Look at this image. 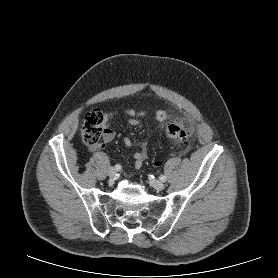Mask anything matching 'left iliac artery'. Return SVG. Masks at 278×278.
<instances>
[{
  "label": "left iliac artery",
  "instance_id": "obj_1",
  "mask_svg": "<svg viewBox=\"0 0 278 278\" xmlns=\"http://www.w3.org/2000/svg\"><path fill=\"white\" fill-rule=\"evenodd\" d=\"M159 179L161 180V181H166V176L165 175H161L160 177H159Z\"/></svg>",
  "mask_w": 278,
  "mask_h": 278
}]
</instances>
